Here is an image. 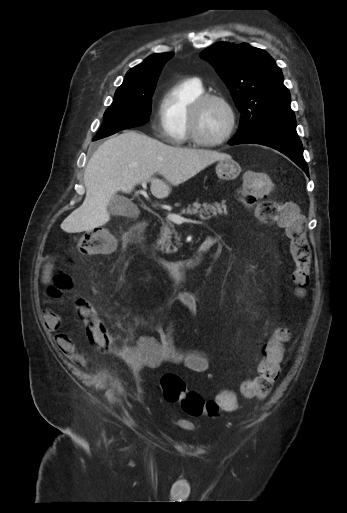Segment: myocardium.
Instances as JSON below:
<instances>
[{
  "label": "myocardium",
  "mask_w": 347,
  "mask_h": 513,
  "mask_svg": "<svg viewBox=\"0 0 347 513\" xmlns=\"http://www.w3.org/2000/svg\"><path fill=\"white\" fill-rule=\"evenodd\" d=\"M211 101L222 104L229 114V124L223 136L216 140H207L200 136L198 131V122L202 108ZM237 125L236 111L231 102L220 94L204 93L197 97L189 107L187 117V128L189 140L203 147H217L227 142L233 135Z\"/></svg>",
  "instance_id": "myocardium-1"
}]
</instances>
